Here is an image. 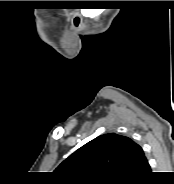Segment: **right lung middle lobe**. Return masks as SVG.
Instances as JSON below:
<instances>
[{
  "mask_svg": "<svg viewBox=\"0 0 174 184\" xmlns=\"http://www.w3.org/2000/svg\"><path fill=\"white\" fill-rule=\"evenodd\" d=\"M122 182H120V183H115V184H121Z\"/></svg>",
  "mask_w": 174,
  "mask_h": 184,
  "instance_id": "dd1d6c3e",
  "label": "right lung middle lobe"
}]
</instances>
